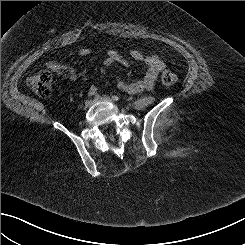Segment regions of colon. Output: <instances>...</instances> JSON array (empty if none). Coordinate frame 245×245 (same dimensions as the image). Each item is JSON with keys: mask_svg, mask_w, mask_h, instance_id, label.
I'll return each mask as SVG.
<instances>
[{"mask_svg": "<svg viewBox=\"0 0 245 245\" xmlns=\"http://www.w3.org/2000/svg\"><path fill=\"white\" fill-rule=\"evenodd\" d=\"M165 86H171L177 81L176 75L166 70L161 76ZM52 75L49 71L41 69L27 78V86L39 97L47 98L51 94Z\"/></svg>", "mask_w": 245, "mask_h": 245, "instance_id": "1", "label": "colon"}]
</instances>
